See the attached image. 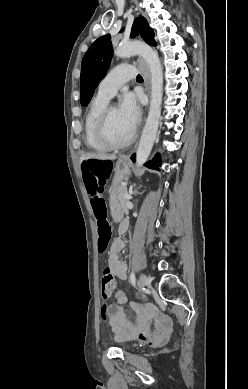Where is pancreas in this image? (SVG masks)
<instances>
[{
	"label": "pancreas",
	"instance_id": "1",
	"mask_svg": "<svg viewBox=\"0 0 248 389\" xmlns=\"http://www.w3.org/2000/svg\"><path fill=\"white\" fill-rule=\"evenodd\" d=\"M113 188L118 195V199H119V202H120V205L122 207L123 212L127 214L128 209L126 207V203H127L128 199L125 197V194L127 193L126 186L124 184H115L113 186Z\"/></svg>",
	"mask_w": 248,
	"mask_h": 389
}]
</instances>
